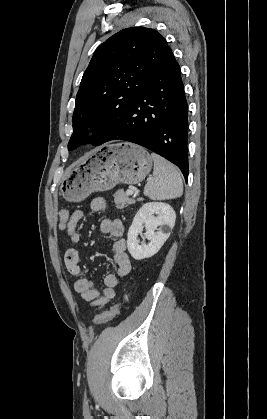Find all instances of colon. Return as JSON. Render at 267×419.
Returning <instances> with one entry per match:
<instances>
[{"mask_svg": "<svg viewBox=\"0 0 267 419\" xmlns=\"http://www.w3.org/2000/svg\"><path fill=\"white\" fill-rule=\"evenodd\" d=\"M70 217H71V213L68 210H62L60 212L59 227L62 230L67 229V225H68V222L70 220ZM119 310H120V304H115V305L111 306L109 309H107L106 311H104L101 314H99L98 316H96L93 320V324L94 325H101L103 323L109 322L115 316L118 315Z\"/></svg>", "mask_w": 267, "mask_h": 419, "instance_id": "1", "label": "colon"}]
</instances>
